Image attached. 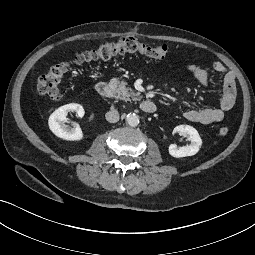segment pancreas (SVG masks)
<instances>
[{
	"instance_id": "obj_1",
	"label": "pancreas",
	"mask_w": 255,
	"mask_h": 255,
	"mask_svg": "<svg viewBox=\"0 0 255 255\" xmlns=\"http://www.w3.org/2000/svg\"><path fill=\"white\" fill-rule=\"evenodd\" d=\"M110 86L114 88L115 97L124 101H137L141 99L139 92H134L131 88L126 87L127 83L119 81L117 78L110 80Z\"/></svg>"
}]
</instances>
